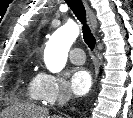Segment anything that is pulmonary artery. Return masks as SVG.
I'll use <instances>...</instances> for the list:
<instances>
[{"instance_id": "1", "label": "pulmonary artery", "mask_w": 133, "mask_h": 118, "mask_svg": "<svg viewBox=\"0 0 133 118\" xmlns=\"http://www.w3.org/2000/svg\"><path fill=\"white\" fill-rule=\"evenodd\" d=\"M69 58L74 64H82L85 62L84 50L80 47L73 48L70 51Z\"/></svg>"}]
</instances>
